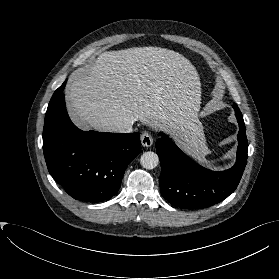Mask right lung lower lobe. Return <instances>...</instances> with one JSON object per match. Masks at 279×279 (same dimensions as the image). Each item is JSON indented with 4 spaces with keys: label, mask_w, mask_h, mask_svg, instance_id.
I'll return each mask as SVG.
<instances>
[{
    "label": "right lung lower lobe",
    "mask_w": 279,
    "mask_h": 279,
    "mask_svg": "<svg viewBox=\"0 0 279 279\" xmlns=\"http://www.w3.org/2000/svg\"><path fill=\"white\" fill-rule=\"evenodd\" d=\"M65 84L45 115L43 151L49 173L76 200L107 201L116 195L125 169L140 153V135L78 129L66 111Z\"/></svg>",
    "instance_id": "98d812e1"
}]
</instances>
